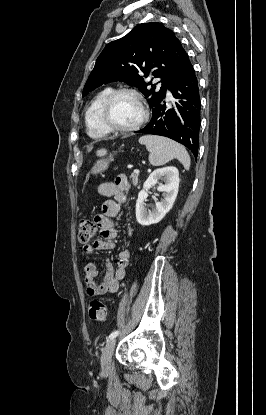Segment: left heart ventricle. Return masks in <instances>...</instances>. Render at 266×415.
<instances>
[{
    "label": "left heart ventricle",
    "mask_w": 266,
    "mask_h": 415,
    "mask_svg": "<svg viewBox=\"0 0 266 415\" xmlns=\"http://www.w3.org/2000/svg\"><path fill=\"white\" fill-rule=\"evenodd\" d=\"M141 116V107L134 96L122 94L113 102L111 118L117 126H132L139 121Z\"/></svg>",
    "instance_id": "b2bd125f"
}]
</instances>
